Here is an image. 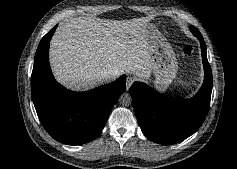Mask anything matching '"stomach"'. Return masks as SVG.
Masks as SVG:
<instances>
[{
    "label": "stomach",
    "instance_id": "stomach-1",
    "mask_svg": "<svg viewBox=\"0 0 237 169\" xmlns=\"http://www.w3.org/2000/svg\"><path fill=\"white\" fill-rule=\"evenodd\" d=\"M151 54L152 73L156 76L162 77L174 66L171 46L160 33L153 35Z\"/></svg>",
    "mask_w": 237,
    "mask_h": 169
}]
</instances>
